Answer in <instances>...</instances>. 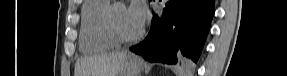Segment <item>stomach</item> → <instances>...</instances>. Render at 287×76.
Instances as JSON below:
<instances>
[{
  "label": "stomach",
  "instance_id": "stomach-1",
  "mask_svg": "<svg viewBox=\"0 0 287 76\" xmlns=\"http://www.w3.org/2000/svg\"><path fill=\"white\" fill-rule=\"evenodd\" d=\"M142 63L133 55H126L120 65L117 76H138Z\"/></svg>",
  "mask_w": 287,
  "mask_h": 76
}]
</instances>
